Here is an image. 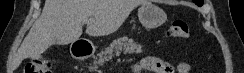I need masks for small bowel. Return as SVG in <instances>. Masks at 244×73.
<instances>
[{"label":"small bowel","mask_w":244,"mask_h":73,"mask_svg":"<svg viewBox=\"0 0 244 73\" xmlns=\"http://www.w3.org/2000/svg\"><path fill=\"white\" fill-rule=\"evenodd\" d=\"M133 73H190L188 63L180 62L176 66L160 59L149 57L132 65Z\"/></svg>","instance_id":"1"}]
</instances>
